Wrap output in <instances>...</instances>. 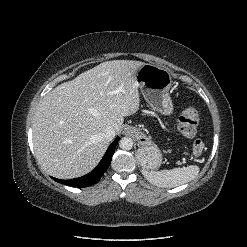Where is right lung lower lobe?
<instances>
[{
  "instance_id": "right-lung-lower-lobe-1",
  "label": "right lung lower lobe",
  "mask_w": 247,
  "mask_h": 247,
  "mask_svg": "<svg viewBox=\"0 0 247 247\" xmlns=\"http://www.w3.org/2000/svg\"><path fill=\"white\" fill-rule=\"evenodd\" d=\"M119 141V137H117L114 142L109 146L105 155L103 156L100 163L93 169L90 173L75 179L70 180H61L53 178L56 182L73 186V187H88L99 182L102 175L106 172L107 168L111 163L112 156L114 154L116 145Z\"/></svg>"
}]
</instances>
